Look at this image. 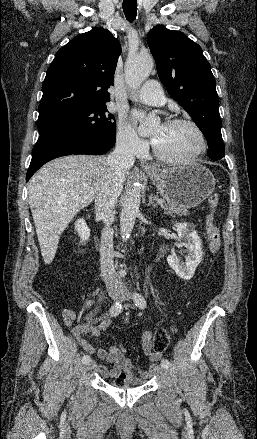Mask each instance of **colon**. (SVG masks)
I'll list each match as a JSON object with an SVG mask.
<instances>
[{
  "label": "colon",
  "mask_w": 257,
  "mask_h": 439,
  "mask_svg": "<svg viewBox=\"0 0 257 439\" xmlns=\"http://www.w3.org/2000/svg\"><path fill=\"white\" fill-rule=\"evenodd\" d=\"M219 196L217 194H212L208 198V206L210 208V213L206 219L207 233H208V241L209 248L213 255L218 254L220 250V232L215 223L214 213L218 206ZM170 337L166 330L158 329L155 331L153 337V349L156 352H163L169 345ZM114 383L118 387H123L126 383V378L122 375L115 378Z\"/></svg>",
  "instance_id": "colon-1"
}]
</instances>
